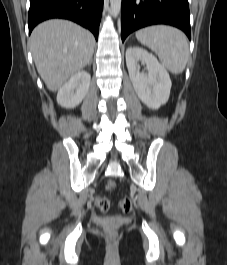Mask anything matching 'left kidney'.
<instances>
[{
  "label": "left kidney",
  "instance_id": "1",
  "mask_svg": "<svg viewBox=\"0 0 227 265\" xmlns=\"http://www.w3.org/2000/svg\"><path fill=\"white\" fill-rule=\"evenodd\" d=\"M139 61L146 64L147 75L140 73ZM126 65L135 92L147 107L157 110L168 101L171 79L154 55L139 47H129L126 50Z\"/></svg>",
  "mask_w": 227,
  "mask_h": 265
}]
</instances>
